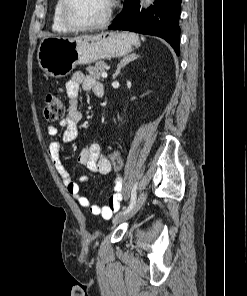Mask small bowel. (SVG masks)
<instances>
[{
	"instance_id": "small-bowel-1",
	"label": "small bowel",
	"mask_w": 247,
	"mask_h": 296,
	"mask_svg": "<svg viewBox=\"0 0 247 296\" xmlns=\"http://www.w3.org/2000/svg\"><path fill=\"white\" fill-rule=\"evenodd\" d=\"M80 88L86 92L97 94L102 88V84L81 72L74 73L67 82L66 92L69 99L68 114L66 118L60 122V126L63 128L62 141L66 143L73 141L77 137L78 126L82 120V113L78 108ZM47 132L50 137L55 138L58 134V128L51 125L48 127ZM48 154L53 166L61 176L67 191L75 198L80 206L89 208L93 215L102 216L106 219L110 218L120 209V202L123 199V186L120 179H117L115 182L113 194L109 198L108 204L104 206L92 204L89 199L80 192V184L88 182L90 177L82 176L77 181L72 178L69 171L61 162L59 141L53 140L50 143ZM77 161L78 163L85 165L92 174L106 175L111 172V163L109 159L102 154L100 147L97 144L83 147L78 154Z\"/></svg>"
}]
</instances>
